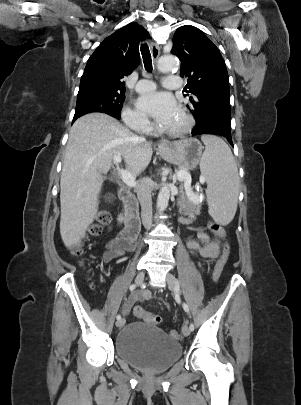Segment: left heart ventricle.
<instances>
[{"label": "left heart ventricle", "instance_id": "1", "mask_svg": "<svg viewBox=\"0 0 301 405\" xmlns=\"http://www.w3.org/2000/svg\"><path fill=\"white\" fill-rule=\"evenodd\" d=\"M182 125V118L179 116L177 119H175L173 122L170 124L164 126L165 129H176Z\"/></svg>", "mask_w": 301, "mask_h": 405}]
</instances>
